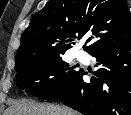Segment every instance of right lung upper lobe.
<instances>
[{
    "label": "right lung upper lobe",
    "mask_w": 131,
    "mask_h": 115,
    "mask_svg": "<svg viewBox=\"0 0 131 115\" xmlns=\"http://www.w3.org/2000/svg\"><path fill=\"white\" fill-rule=\"evenodd\" d=\"M91 35L89 54L131 43V15L125 0H49L21 36L16 66L34 55L65 52ZM15 66V68H16Z\"/></svg>",
    "instance_id": "1"
}]
</instances>
